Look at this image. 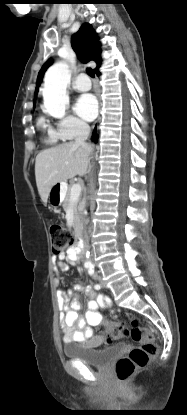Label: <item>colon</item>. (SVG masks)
<instances>
[{"label":"colon","instance_id":"5ec220e1","mask_svg":"<svg viewBox=\"0 0 187 415\" xmlns=\"http://www.w3.org/2000/svg\"><path fill=\"white\" fill-rule=\"evenodd\" d=\"M51 248L54 255H61L73 245V234L61 224L54 223L49 229ZM97 329L110 339L129 335L140 346L135 347L126 356L119 358L115 364V375L119 382L128 381L136 370L146 367L151 358L158 353L151 328L144 326L138 319L131 321L130 330L118 321L101 322Z\"/></svg>","mask_w":187,"mask_h":415}]
</instances>
